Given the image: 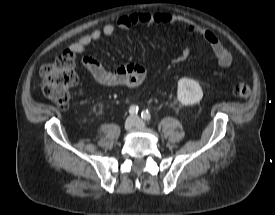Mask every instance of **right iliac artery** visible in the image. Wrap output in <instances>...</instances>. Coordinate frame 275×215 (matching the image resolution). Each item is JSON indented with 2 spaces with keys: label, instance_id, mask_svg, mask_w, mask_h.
<instances>
[{
  "label": "right iliac artery",
  "instance_id": "obj_1",
  "mask_svg": "<svg viewBox=\"0 0 275 215\" xmlns=\"http://www.w3.org/2000/svg\"><path fill=\"white\" fill-rule=\"evenodd\" d=\"M129 113L131 115H135L138 113V106H135V105H132L130 108H129Z\"/></svg>",
  "mask_w": 275,
  "mask_h": 215
}]
</instances>
